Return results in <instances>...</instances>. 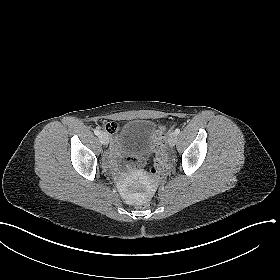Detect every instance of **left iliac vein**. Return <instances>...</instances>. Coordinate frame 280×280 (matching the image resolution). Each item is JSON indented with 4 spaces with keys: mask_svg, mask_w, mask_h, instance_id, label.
Returning a JSON list of instances; mask_svg holds the SVG:
<instances>
[{
    "mask_svg": "<svg viewBox=\"0 0 280 280\" xmlns=\"http://www.w3.org/2000/svg\"><path fill=\"white\" fill-rule=\"evenodd\" d=\"M177 142V134L175 132H171L168 137V143L170 146H174Z\"/></svg>",
    "mask_w": 280,
    "mask_h": 280,
    "instance_id": "left-iliac-vein-1",
    "label": "left iliac vein"
}]
</instances>
